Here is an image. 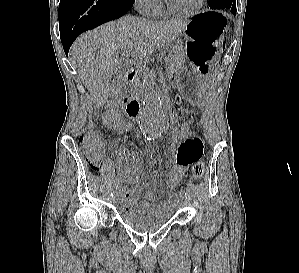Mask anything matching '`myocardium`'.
<instances>
[{
  "mask_svg": "<svg viewBox=\"0 0 299 273\" xmlns=\"http://www.w3.org/2000/svg\"><path fill=\"white\" fill-rule=\"evenodd\" d=\"M166 8L174 13V14H179L183 16H192L197 14L204 6L205 0H199L198 3L191 9L185 10V9H180L176 6H174L171 2V0H164Z\"/></svg>",
  "mask_w": 299,
  "mask_h": 273,
  "instance_id": "f54148a6",
  "label": "myocardium"
}]
</instances>
